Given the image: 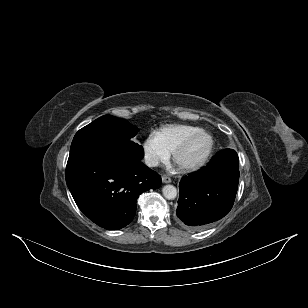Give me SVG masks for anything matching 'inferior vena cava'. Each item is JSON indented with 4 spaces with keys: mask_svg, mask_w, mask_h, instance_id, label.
Segmentation results:
<instances>
[{
    "mask_svg": "<svg viewBox=\"0 0 308 308\" xmlns=\"http://www.w3.org/2000/svg\"><path fill=\"white\" fill-rule=\"evenodd\" d=\"M145 164L148 167H155L158 165V160L152 156L146 155L145 156Z\"/></svg>",
    "mask_w": 308,
    "mask_h": 308,
    "instance_id": "1",
    "label": "inferior vena cava"
}]
</instances>
